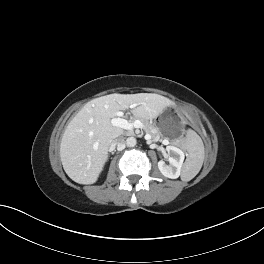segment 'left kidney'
<instances>
[{"mask_svg": "<svg viewBox=\"0 0 264 264\" xmlns=\"http://www.w3.org/2000/svg\"><path fill=\"white\" fill-rule=\"evenodd\" d=\"M166 150L170 154L168 158L169 165L160 160L158 168L165 177L176 179L181 175V168L185 158L184 152L175 146H167Z\"/></svg>", "mask_w": 264, "mask_h": 264, "instance_id": "obj_1", "label": "left kidney"}]
</instances>
